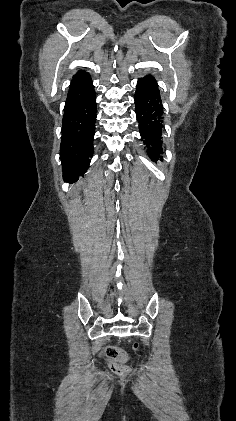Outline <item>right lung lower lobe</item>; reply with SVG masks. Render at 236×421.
Instances as JSON below:
<instances>
[{
	"instance_id": "98d812e1",
	"label": "right lung lower lobe",
	"mask_w": 236,
	"mask_h": 421,
	"mask_svg": "<svg viewBox=\"0 0 236 421\" xmlns=\"http://www.w3.org/2000/svg\"><path fill=\"white\" fill-rule=\"evenodd\" d=\"M96 99L90 75L79 70L69 86L62 121L60 159L63 178L73 183L83 176L93 154Z\"/></svg>"
}]
</instances>
